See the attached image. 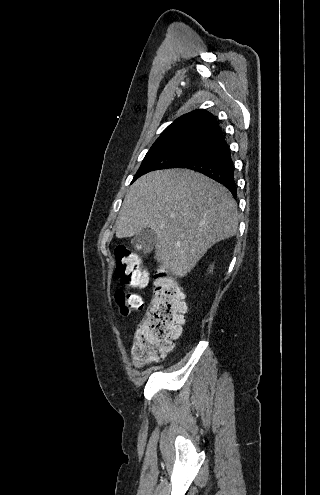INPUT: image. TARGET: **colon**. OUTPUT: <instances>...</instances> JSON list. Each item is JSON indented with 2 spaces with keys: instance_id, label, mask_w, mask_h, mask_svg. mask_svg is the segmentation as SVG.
Returning <instances> with one entry per match:
<instances>
[{
  "instance_id": "1",
  "label": "colon",
  "mask_w": 320,
  "mask_h": 495,
  "mask_svg": "<svg viewBox=\"0 0 320 495\" xmlns=\"http://www.w3.org/2000/svg\"><path fill=\"white\" fill-rule=\"evenodd\" d=\"M115 274L127 287L141 289L148 283L140 256L120 245L115 250ZM115 299L123 315L143 308L140 295L118 290ZM186 313L184 294L177 281L165 271H158L154 280V295L146 314L137 326L132 346V361L141 367L168 352L180 335Z\"/></svg>"
}]
</instances>
